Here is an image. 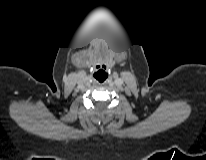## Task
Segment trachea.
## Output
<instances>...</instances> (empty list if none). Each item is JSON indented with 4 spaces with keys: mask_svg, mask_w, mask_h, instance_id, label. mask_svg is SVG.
I'll list each match as a JSON object with an SVG mask.
<instances>
[{
    "mask_svg": "<svg viewBox=\"0 0 206 160\" xmlns=\"http://www.w3.org/2000/svg\"><path fill=\"white\" fill-rule=\"evenodd\" d=\"M108 74L104 70H99L94 74V77L99 81L103 82L107 78Z\"/></svg>",
    "mask_w": 206,
    "mask_h": 160,
    "instance_id": "3493384b",
    "label": "trachea"
}]
</instances>
